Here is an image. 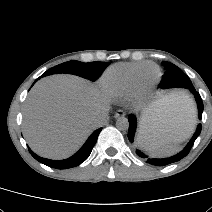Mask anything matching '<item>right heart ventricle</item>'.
I'll return each instance as SVG.
<instances>
[{"mask_svg":"<svg viewBox=\"0 0 212 212\" xmlns=\"http://www.w3.org/2000/svg\"><path fill=\"white\" fill-rule=\"evenodd\" d=\"M141 71H152L156 74L158 67L150 62L118 63L103 73L100 83L110 97L125 98L135 92L137 75Z\"/></svg>","mask_w":212,"mask_h":212,"instance_id":"e07e8e85","label":"right heart ventricle"}]
</instances>
